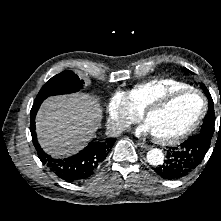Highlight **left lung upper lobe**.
Instances as JSON below:
<instances>
[{"label":"left lung upper lobe","mask_w":221,"mask_h":221,"mask_svg":"<svg viewBox=\"0 0 221 221\" xmlns=\"http://www.w3.org/2000/svg\"><path fill=\"white\" fill-rule=\"evenodd\" d=\"M202 88L206 96L208 97V113L204 118L199 136L205 137L210 145L211 139L215 130L214 129V126H215L214 104H213L212 97L209 91L207 90L206 86L202 84Z\"/></svg>","instance_id":"1"}]
</instances>
